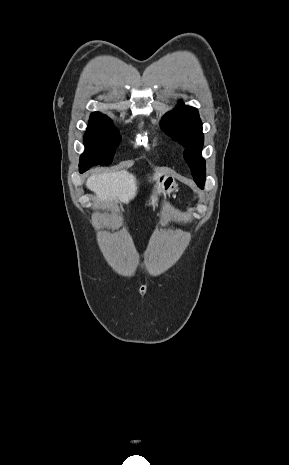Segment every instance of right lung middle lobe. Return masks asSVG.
Instances as JSON below:
<instances>
[{
  "label": "right lung middle lobe",
  "instance_id": "right-lung-middle-lobe-1",
  "mask_svg": "<svg viewBox=\"0 0 289 465\" xmlns=\"http://www.w3.org/2000/svg\"><path fill=\"white\" fill-rule=\"evenodd\" d=\"M84 136L85 152L80 157L79 167L86 171L94 165H108L113 160L114 150L121 141L118 130L111 124L105 128H87Z\"/></svg>",
  "mask_w": 289,
  "mask_h": 465
}]
</instances>
